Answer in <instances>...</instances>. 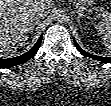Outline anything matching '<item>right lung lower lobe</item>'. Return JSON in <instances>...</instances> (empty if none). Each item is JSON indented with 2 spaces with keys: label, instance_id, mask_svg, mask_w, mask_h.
<instances>
[{
  "label": "right lung lower lobe",
  "instance_id": "1",
  "mask_svg": "<svg viewBox=\"0 0 111 106\" xmlns=\"http://www.w3.org/2000/svg\"><path fill=\"white\" fill-rule=\"evenodd\" d=\"M41 39H42V36H40L36 44L28 52L20 56H17L14 58H8V59H0V67L2 68L13 67L31 59L36 54L37 50L39 49Z\"/></svg>",
  "mask_w": 111,
  "mask_h": 106
}]
</instances>
